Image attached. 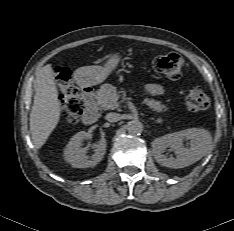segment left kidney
Here are the masks:
<instances>
[{"label": "left kidney", "instance_id": "1", "mask_svg": "<svg viewBox=\"0 0 234 231\" xmlns=\"http://www.w3.org/2000/svg\"><path fill=\"white\" fill-rule=\"evenodd\" d=\"M184 140H191L189 147H184ZM171 148L176 158L164 154L167 148ZM212 148V137L209 131L201 128H190L167 134L156 138L152 142V150L156 161L169 168H183L200 160L209 153Z\"/></svg>", "mask_w": 234, "mask_h": 231}]
</instances>
